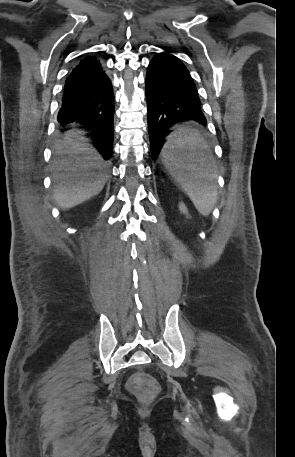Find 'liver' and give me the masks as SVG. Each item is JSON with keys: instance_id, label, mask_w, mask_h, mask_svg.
<instances>
[{"instance_id": "liver-1", "label": "liver", "mask_w": 295, "mask_h": 457, "mask_svg": "<svg viewBox=\"0 0 295 457\" xmlns=\"http://www.w3.org/2000/svg\"><path fill=\"white\" fill-rule=\"evenodd\" d=\"M84 132L71 131L68 143L58 150L61 159L54 162V199L63 209L72 208L97 195L103 189L106 177L97 170L102 167V158L82 137ZM70 155L65 159L63 155Z\"/></svg>"}]
</instances>
